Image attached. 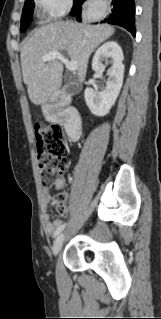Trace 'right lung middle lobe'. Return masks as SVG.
<instances>
[{"mask_svg":"<svg viewBox=\"0 0 161 319\" xmlns=\"http://www.w3.org/2000/svg\"><path fill=\"white\" fill-rule=\"evenodd\" d=\"M34 9L33 0H26L23 8V13L21 17V31H25L27 27L30 25L32 14Z\"/></svg>","mask_w":161,"mask_h":319,"instance_id":"right-lung-middle-lobe-1","label":"right lung middle lobe"}]
</instances>
